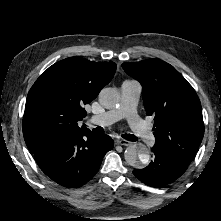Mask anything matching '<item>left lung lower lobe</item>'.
<instances>
[{
    "label": "left lung lower lobe",
    "mask_w": 221,
    "mask_h": 221,
    "mask_svg": "<svg viewBox=\"0 0 221 221\" xmlns=\"http://www.w3.org/2000/svg\"><path fill=\"white\" fill-rule=\"evenodd\" d=\"M154 159L150 164L143 169L133 170L134 175L151 187H162L174 182L188 168L187 163H184L169 153L152 148Z\"/></svg>",
    "instance_id": "left-lung-lower-lobe-1"
}]
</instances>
